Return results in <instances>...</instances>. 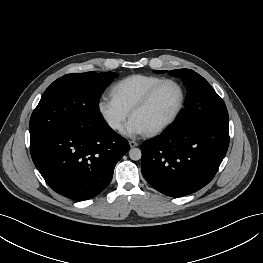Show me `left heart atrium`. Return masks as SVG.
<instances>
[{"label": "left heart atrium", "instance_id": "obj_1", "mask_svg": "<svg viewBox=\"0 0 263 263\" xmlns=\"http://www.w3.org/2000/svg\"><path fill=\"white\" fill-rule=\"evenodd\" d=\"M145 132L146 130L144 129V127L140 124V122L137 119L133 117H131L122 128V133L130 137L144 134Z\"/></svg>", "mask_w": 263, "mask_h": 263}]
</instances>
